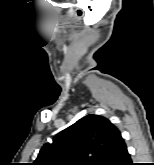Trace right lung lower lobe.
I'll list each match as a JSON object with an SVG mask.
<instances>
[{
    "label": "right lung lower lobe",
    "mask_w": 154,
    "mask_h": 165,
    "mask_svg": "<svg viewBox=\"0 0 154 165\" xmlns=\"http://www.w3.org/2000/svg\"><path fill=\"white\" fill-rule=\"evenodd\" d=\"M103 165H133L122 137L117 140L113 146V153Z\"/></svg>",
    "instance_id": "right-lung-lower-lobe-1"
}]
</instances>
